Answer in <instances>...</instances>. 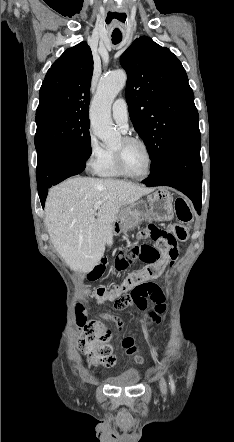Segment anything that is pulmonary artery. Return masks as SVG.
Returning <instances> with one entry per match:
<instances>
[{
    "instance_id": "pulmonary-artery-1",
    "label": "pulmonary artery",
    "mask_w": 234,
    "mask_h": 442,
    "mask_svg": "<svg viewBox=\"0 0 234 442\" xmlns=\"http://www.w3.org/2000/svg\"><path fill=\"white\" fill-rule=\"evenodd\" d=\"M112 115L118 126L123 132L128 129V106L127 102L123 98L115 100L112 105Z\"/></svg>"
}]
</instances>
